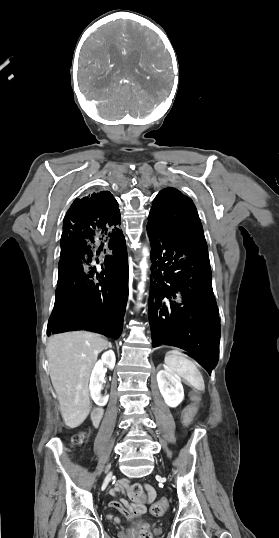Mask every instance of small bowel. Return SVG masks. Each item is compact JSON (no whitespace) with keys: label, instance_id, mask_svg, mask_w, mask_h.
<instances>
[{"label":"small bowel","instance_id":"small-bowel-1","mask_svg":"<svg viewBox=\"0 0 279 538\" xmlns=\"http://www.w3.org/2000/svg\"><path fill=\"white\" fill-rule=\"evenodd\" d=\"M146 490L148 493V502H151L155 498V491L150 485H146ZM127 493L130 497V501L121 499L110 501L108 506L110 508L118 510L125 518L129 520H135L138 516L144 513L145 504L142 500L133 496L131 490L128 486L127 480H120L114 488L111 490V495L116 496L120 493ZM107 519L113 521L114 523L119 524L121 518L116 515L108 514Z\"/></svg>","mask_w":279,"mask_h":538}]
</instances>
